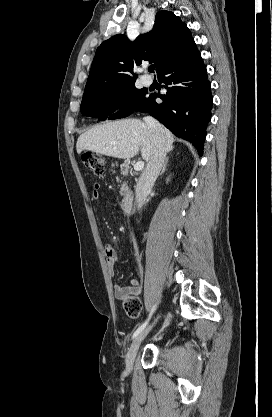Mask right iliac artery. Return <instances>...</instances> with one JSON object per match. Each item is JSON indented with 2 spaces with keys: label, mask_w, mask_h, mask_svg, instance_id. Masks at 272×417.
Segmentation results:
<instances>
[{
  "label": "right iliac artery",
  "mask_w": 272,
  "mask_h": 417,
  "mask_svg": "<svg viewBox=\"0 0 272 417\" xmlns=\"http://www.w3.org/2000/svg\"><path fill=\"white\" fill-rule=\"evenodd\" d=\"M154 310H155V306H153V308L151 309L148 319L141 326L138 327V329L134 332L132 338H135L136 336H138L143 331V329L146 327L151 315L153 314Z\"/></svg>",
  "instance_id": "82829eb1"
}]
</instances>
